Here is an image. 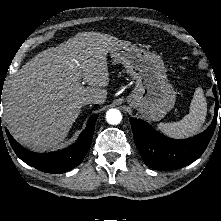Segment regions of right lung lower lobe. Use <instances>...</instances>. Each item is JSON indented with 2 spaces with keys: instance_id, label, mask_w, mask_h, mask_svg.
<instances>
[{
  "instance_id": "right-lung-lower-lobe-1",
  "label": "right lung lower lobe",
  "mask_w": 221,
  "mask_h": 221,
  "mask_svg": "<svg viewBox=\"0 0 221 221\" xmlns=\"http://www.w3.org/2000/svg\"><path fill=\"white\" fill-rule=\"evenodd\" d=\"M97 118L98 115H94L88 120L87 127L74 144L66 149L50 153H34L28 151L12 138L7 129L6 133L12 148L22 161L43 172L58 174L67 172L82 162L91 146ZM0 128L2 132L1 118Z\"/></svg>"
}]
</instances>
